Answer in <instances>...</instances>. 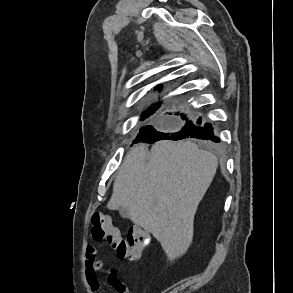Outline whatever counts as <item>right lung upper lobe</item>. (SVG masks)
<instances>
[{
  "instance_id": "1",
  "label": "right lung upper lobe",
  "mask_w": 293,
  "mask_h": 293,
  "mask_svg": "<svg viewBox=\"0 0 293 293\" xmlns=\"http://www.w3.org/2000/svg\"><path fill=\"white\" fill-rule=\"evenodd\" d=\"M159 106H160V104H154L150 107V110H156L159 108Z\"/></svg>"
}]
</instances>
